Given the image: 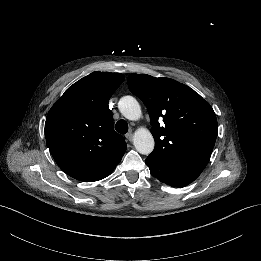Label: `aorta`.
Returning a JSON list of instances; mask_svg holds the SVG:
<instances>
[{
	"instance_id": "aorta-1",
	"label": "aorta",
	"mask_w": 261,
	"mask_h": 261,
	"mask_svg": "<svg viewBox=\"0 0 261 261\" xmlns=\"http://www.w3.org/2000/svg\"><path fill=\"white\" fill-rule=\"evenodd\" d=\"M119 110L128 120H138L141 117V107L138 101L132 96H124L120 99ZM134 146L140 154L148 155L154 149V138L149 130H136L133 138Z\"/></svg>"
}]
</instances>
